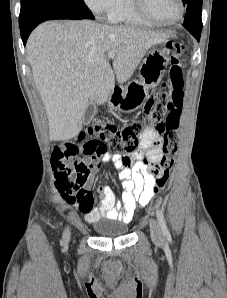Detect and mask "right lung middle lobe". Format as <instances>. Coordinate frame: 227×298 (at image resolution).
Wrapping results in <instances>:
<instances>
[{
	"label": "right lung middle lobe",
	"instance_id": "1",
	"mask_svg": "<svg viewBox=\"0 0 227 298\" xmlns=\"http://www.w3.org/2000/svg\"><path fill=\"white\" fill-rule=\"evenodd\" d=\"M49 13L94 19L93 14L83 0H21L19 26L22 27L34 18Z\"/></svg>",
	"mask_w": 227,
	"mask_h": 298
}]
</instances>
